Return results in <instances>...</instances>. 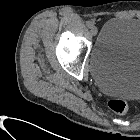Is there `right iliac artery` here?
<instances>
[{
	"label": "right iliac artery",
	"mask_w": 140,
	"mask_h": 140,
	"mask_svg": "<svg viewBox=\"0 0 140 140\" xmlns=\"http://www.w3.org/2000/svg\"><path fill=\"white\" fill-rule=\"evenodd\" d=\"M87 26H88L89 28H92V27L94 26V23L91 22V21H88V22H87Z\"/></svg>",
	"instance_id": "right-iliac-artery-1"
}]
</instances>
